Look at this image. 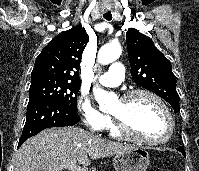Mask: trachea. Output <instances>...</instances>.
<instances>
[{"mask_svg": "<svg viewBox=\"0 0 199 171\" xmlns=\"http://www.w3.org/2000/svg\"><path fill=\"white\" fill-rule=\"evenodd\" d=\"M103 17L106 19V20H111L112 19V14L110 12H106L103 14Z\"/></svg>", "mask_w": 199, "mask_h": 171, "instance_id": "1", "label": "trachea"}]
</instances>
